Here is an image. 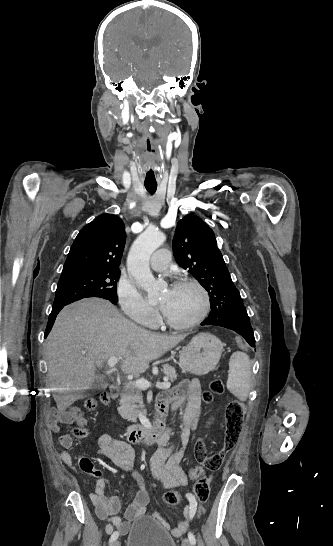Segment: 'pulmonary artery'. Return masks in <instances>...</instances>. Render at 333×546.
I'll list each match as a JSON object with an SVG mask.
<instances>
[{
    "label": "pulmonary artery",
    "instance_id": "e3ab8cb5",
    "mask_svg": "<svg viewBox=\"0 0 333 546\" xmlns=\"http://www.w3.org/2000/svg\"><path fill=\"white\" fill-rule=\"evenodd\" d=\"M171 259L170 251L167 249L157 250L150 259V267L155 271H164L168 268Z\"/></svg>",
    "mask_w": 333,
    "mask_h": 546
}]
</instances>
